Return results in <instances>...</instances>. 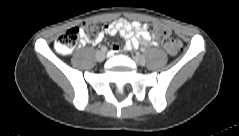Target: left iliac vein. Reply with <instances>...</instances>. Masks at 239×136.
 <instances>
[{
  "label": "left iliac vein",
  "instance_id": "4c4485c4",
  "mask_svg": "<svg viewBox=\"0 0 239 136\" xmlns=\"http://www.w3.org/2000/svg\"><path fill=\"white\" fill-rule=\"evenodd\" d=\"M133 60L135 61L136 64L138 65H144L146 60L145 57L140 55V54H136L133 56Z\"/></svg>",
  "mask_w": 239,
  "mask_h": 136
}]
</instances>
